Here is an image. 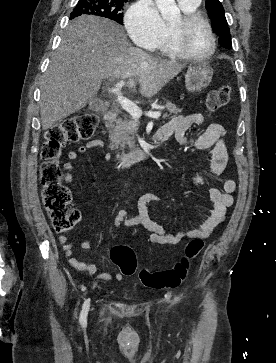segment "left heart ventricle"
Masks as SVG:
<instances>
[{
	"label": "left heart ventricle",
	"mask_w": 276,
	"mask_h": 363,
	"mask_svg": "<svg viewBox=\"0 0 276 363\" xmlns=\"http://www.w3.org/2000/svg\"><path fill=\"white\" fill-rule=\"evenodd\" d=\"M180 19L174 24L179 23ZM187 49L197 55L206 54L211 47V39L206 27L202 23L192 26L184 37Z\"/></svg>",
	"instance_id": "b2bd125f"
}]
</instances>
